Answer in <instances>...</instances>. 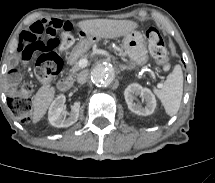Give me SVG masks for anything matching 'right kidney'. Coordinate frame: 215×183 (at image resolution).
I'll return each mask as SVG.
<instances>
[{"mask_svg":"<svg viewBox=\"0 0 215 183\" xmlns=\"http://www.w3.org/2000/svg\"><path fill=\"white\" fill-rule=\"evenodd\" d=\"M66 98L64 95H59L51 104L48 111V120L50 124L57 128H64L73 125L79 117L80 102H74L71 107V112L66 117L64 108Z\"/></svg>","mask_w":215,"mask_h":183,"instance_id":"ca27d5eb","label":"right kidney"}]
</instances>
